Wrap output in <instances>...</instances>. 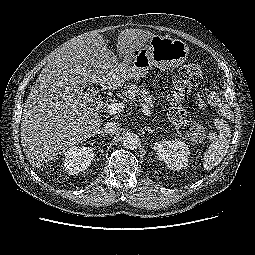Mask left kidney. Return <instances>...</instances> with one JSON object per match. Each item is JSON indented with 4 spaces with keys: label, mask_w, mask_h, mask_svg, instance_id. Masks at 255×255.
Here are the masks:
<instances>
[{
    "label": "left kidney",
    "mask_w": 255,
    "mask_h": 255,
    "mask_svg": "<svg viewBox=\"0 0 255 255\" xmlns=\"http://www.w3.org/2000/svg\"><path fill=\"white\" fill-rule=\"evenodd\" d=\"M154 150L159 159L171 170L178 171L187 166L190 152L188 145L181 140H162L156 142Z\"/></svg>",
    "instance_id": "obj_1"
}]
</instances>
